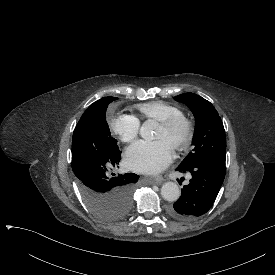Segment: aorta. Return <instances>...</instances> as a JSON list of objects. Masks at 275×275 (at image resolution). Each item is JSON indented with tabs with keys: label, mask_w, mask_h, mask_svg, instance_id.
<instances>
[{
	"label": "aorta",
	"mask_w": 275,
	"mask_h": 275,
	"mask_svg": "<svg viewBox=\"0 0 275 275\" xmlns=\"http://www.w3.org/2000/svg\"><path fill=\"white\" fill-rule=\"evenodd\" d=\"M157 125L153 120H148L144 122L141 128V136L145 140H154L156 139V130ZM181 191L178 185L175 182H165L161 188V195L164 199L168 201H175L180 197Z\"/></svg>",
	"instance_id": "1"
}]
</instances>
